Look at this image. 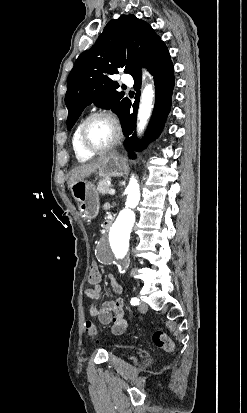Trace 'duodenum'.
<instances>
[{"label": "duodenum", "instance_id": "obj_1", "mask_svg": "<svg viewBox=\"0 0 247 413\" xmlns=\"http://www.w3.org/2000/svg\"><path fill=\"white\" fill-rule=\"evenodd\" d=\"M111 224H112L111 220L105 221V223H104V229L108 230V229L111 227Z\"/></svg>", "mask_w": 247, "mask_h": 413}]
</instances>
